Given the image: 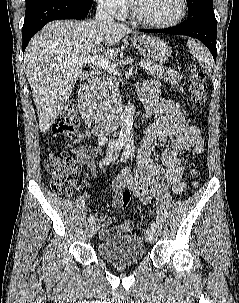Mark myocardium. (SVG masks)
Masks as SVG:
<instances>
[{
    "label": "myocardium",
    "mask_w": 239,
    "mask_h": 303,
    "mask_svg": "<svg viewBox=\"0 0 239 303\" xmlns=\"http://www.w3.org/2000/svg\"><path fill=\"white\" fill-rule=\"evenodd\" d=\"M181 3V10L177 16H175L173 19L168 20V21H163V22H155V21H150L146 18H144L138 11L134 0H131V13L133 18L140 24L147 26V27H152V28H168L172 27L174 25H177L180 23L186 16L187 11H188V2L187 0H180Z\"/></svg>",
    "instance_id": "obj_1"
}]
</instances>
